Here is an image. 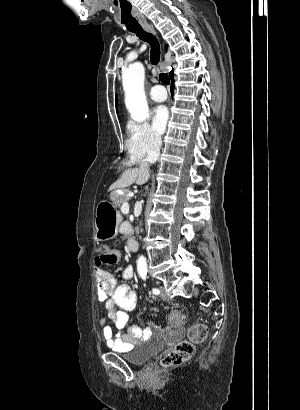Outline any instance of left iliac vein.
<instances>
[{
    "label": "left iliac vein",
    "mask_w": 300,
    "mask_h": 410,
    "mask_svg": "<svg viewBox=\"0 0 300 410\" xmlns=\"http://www.w3.org/2000/svg\"><path fill=\"white\" fill-rule=\"evenodd\" d=\"M159 289H160V292H161V294H160L161 298L165 301H169L170 297L166 294L165 288L163 286H160Z\"/></svg>",
    "instance_id": "4c4485c4"
}]
</instances>
